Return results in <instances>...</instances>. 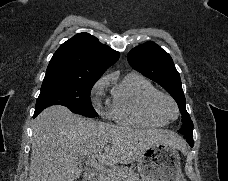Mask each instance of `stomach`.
Masks as SVG:
<instances>
[{
    "instance_id": "stomach-1",
    "label": "stomach",
    "mask_w": 228,
    "mask_h": 181,
    "mask_svg": "<svg viewBox=\"0 0 228 181\" xmlns=\"http://www.w3.org/2000/svg\"><path fill=\"white\" fill-rule=\"evenodd\" d=\"M137 171L141 181H185L180 155L176 147L154 143L137 157Z\"/></svg>"
}]
</instances>
